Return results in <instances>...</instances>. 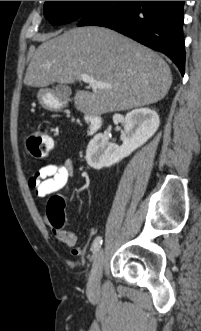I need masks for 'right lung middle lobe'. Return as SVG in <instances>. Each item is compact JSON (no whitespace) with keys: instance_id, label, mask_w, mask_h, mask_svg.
I'll return each mask as SVG.
<instances>
[{"instance_id":"obj_1","label":"right lung middle lobe","mask_w":201,"mask_h":331,"mask_svg":"<svg viewBox=\"0 0 201 331\" xmlns=\"http://www.w3.org/2000/svg\"><path fill=\"white\" fill-rule=\"evenodd\" d=\"M103 1H46L44 15L52 23L64 24L80 20Z\"/></svg>"}]
</instances>
